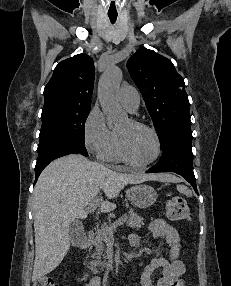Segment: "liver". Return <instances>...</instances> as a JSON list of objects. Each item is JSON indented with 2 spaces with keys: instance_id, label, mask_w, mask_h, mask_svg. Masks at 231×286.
I'll list each match as a JSON object with an SVG mask.
<instances>
[{
  "instance_id": "6515ba94",
  "label": "liver",
  "mask_w": 231,
  "mask_h": 286,
  "mask_svg": "<svg viewBox=\"0 0 231 286\" xmlns=\"http://www.w3.org/2000/svg\"><path fill=\"white\" fill-rule=\"evenodd\" d=\"M153 180L175 182L170 174H125L70 154L51 162L41 173L33 193L35 261L32 281L53 271L70 248L69 226L86 218V206L103 190L101 212H110L112 202L127 184Z\"/></svg>"
}]
</instances>
